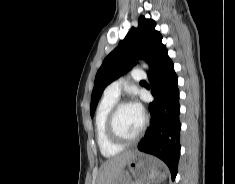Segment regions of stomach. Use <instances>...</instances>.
I'll list each match as a JSON object with an SVG mask.
<instances>
[{
    "label": "stomach",
    "mask_w": 235,
    "mask_h": 184,
    "mask_svg": "<svg viewBox=\"0 0 235 184\" xmlns=\"http://www.w3.org/2000/svg\"><path fill=\"white\" fill-rule=\"evenodd\" d=\"M128 170H122L118 176L112 180L111 184H132V178H136L137 184H160L168 176L167 168L160 162H154L150 156H144L140 152H134L130 156Z\"/></svg>",
    "instance_id": "obj_1"
}]
</instances>
